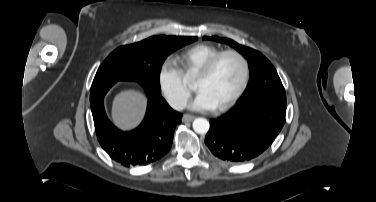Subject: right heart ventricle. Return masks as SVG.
<instances>
[{"label":"right heart ventricle","mask_w":376,"mask_h":202,"mask_svg":"<svg viewBox=\"0 0 376 202\" xmlns=\"http://www.w3.org/2000/svg\"><path fill=\"white\" fill-rule=\"evenodd\" d=\"M220 51L221 49L214 45L197 44L177 53L173 60L182 74L193 77L211 57Z\"/></svg>","instance_id":"1"}]
</instances>
